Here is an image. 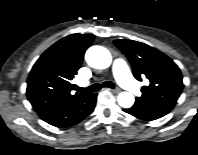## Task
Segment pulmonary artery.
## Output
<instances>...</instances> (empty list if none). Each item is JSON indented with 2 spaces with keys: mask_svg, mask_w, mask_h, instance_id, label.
I'll return each mask as SVG.
<instances>
[{
  "mask_svg": "<svg viewBox=\"0 0 198 155\" xmlns=\"http://www.w3.org/2000/svg\"><path fill=\"white\" fill-rule=\"evenodd\" d=\"M112 72L118 83L125 89L135 92L138 90V84L132 78L127 64L122 59H115L111 66Z\"/></svg>",
  "mask_w": 198,
  "mask_h": 155,
  "instance_id": "e3ab8cb5",
  "label": "pulmonary artery"
}]
</instances>
